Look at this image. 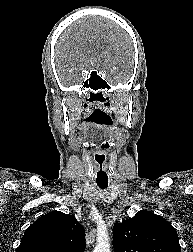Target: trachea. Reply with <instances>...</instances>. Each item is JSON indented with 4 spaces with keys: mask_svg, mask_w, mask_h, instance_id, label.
<instances>
[{
    "mask_svg": "<svg viewBox=\"0 0 193 252\" xmlns=\"http://www.w3.org/2000/svg\"><path fill=\"white\" fill-rule=\"evenodd\" d=\"M98 187L101 189H105L108 186V183H97Z\"/></svg>",
    "mask_w": 193,
    "mask_h": 252,
    "instance_id": "3493384b",
    "label": "trachea"
}]
</instances>
